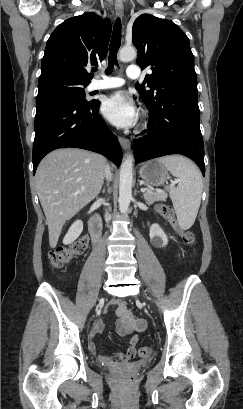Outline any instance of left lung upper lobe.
<instances>
[{"label":"left lung upper lobe","instance_id":"obj_1","mask_svg":"<svg viewBox=\"0 0 243 409\" xmlns=\"http://www.w3.org/2000/svg\"><path fill=\"white\" fill-rule=\"evenodd\" d=\"M133 44L138 49L137 63L151 67L136 88L147 106L152 107L176 90L197 89L194 56L186 34L172 21L150 14L140 15L132 28Z\"/></svg>","mask_w":243,"mask_h":409}]
</instances>
